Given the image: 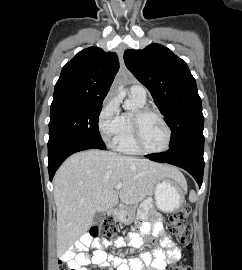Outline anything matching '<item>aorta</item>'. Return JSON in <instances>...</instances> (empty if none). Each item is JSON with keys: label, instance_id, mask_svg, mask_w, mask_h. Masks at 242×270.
Returning a JSON list of instances; mask_svg holds the SVG:
<instances>
[{"label": "aorta", "instance_id": "aorta-1", "mask_svg": "<svg viewBox=\"0 0 242 270\" xmlns=\"http://www.w3.org/2000/svg\"><path fill=\"white\" fill-rule=\"evenodd\" d=\"M124 109H126V110H133L134 109V106L131 105V104H126V105H124Z\"/></svg>", "mask_w": 242, "mask_h": 270}]
</instances>
